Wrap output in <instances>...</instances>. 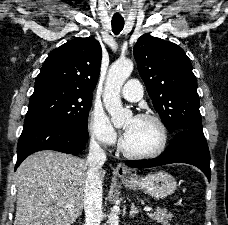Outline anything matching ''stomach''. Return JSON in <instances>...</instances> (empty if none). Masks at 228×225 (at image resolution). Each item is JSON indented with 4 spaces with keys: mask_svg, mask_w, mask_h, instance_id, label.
Segmentation results:
<instances>
[{
    "mask_svg": "<svg viewBox=\"0 0 228 225\" xmlns=\"http://www.w3.org/2000/svg\"><path fill=\"white\" fill-rule=\"evenodd\" d=\"M122 183L133 189V191H144L150 197L156 199H165L168 195H173L176 191L177 183L174 177L165 171H158V173H149L146 177H135L127 179V177H120Z\"/></svg>",
    "mask_w": 228,
    "mask_h": 225,
    "instance_id": "obj_1",
    "label": "stomach"
}]
</instances>
